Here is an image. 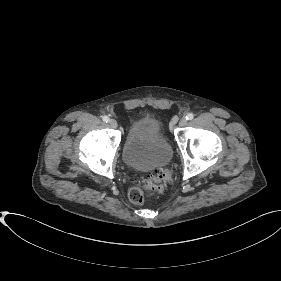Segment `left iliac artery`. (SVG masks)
Segmentation results:
<instances>
[{
  "mask_svg": "<svg viewBox=\"0 0 281 281\" xmlns=\"http://www.w3.org/2000/svg\"><path fill=\"white\" fill-rule=\"evenodd\" d=\"M194 118V115L192 113H189L187 116H186V119L187 120H192Z\"/></svg>",
  "mask_w": 281,
  "mask_h": 281,
  "instance_id": "44dca946",
  "label": "left iliac artery"
}]
</instances>
